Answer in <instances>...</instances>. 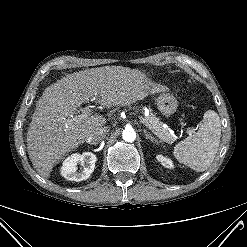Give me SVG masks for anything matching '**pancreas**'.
<instances>
[{"instance_id":"1","label":"pancreas","mask_w":247,"mask_h":247,"mask_svg":"<svg viewBox=\"0 0 247 247\" xmlns=\"http://www.w3.org/2000/svg\"><path fill=\"white\" fill-rule=\"evenodd\" d=\"M144 119L147 127L162 141L172 144L177 139L174 134L170 133L168 129L163 126V122L153 113H150L149 116Z\"/></svg>"}]
</instances>
